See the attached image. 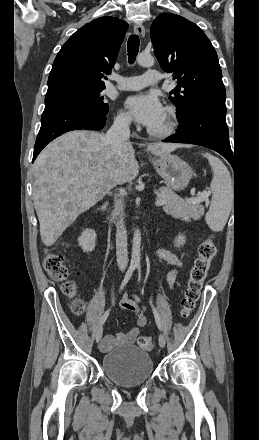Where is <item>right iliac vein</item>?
<instances>
[{"mask_svg":"<svg viewBox=\"0 0 259 440\" xmlns=\"http://www.w3.org/2000/svg\"><path fill=\"white\" fill-rule=\"evenodd\" d=\"M102 335H103V327H102V325H100V326L98 327V329H97V331H96V335H95V339H96V342H97V343L101 340Z\"/></svg>","mask_w":259,"mask_h":440,"instance_id":"63e3f726","label":"right iliac vein"}]
</instances>
